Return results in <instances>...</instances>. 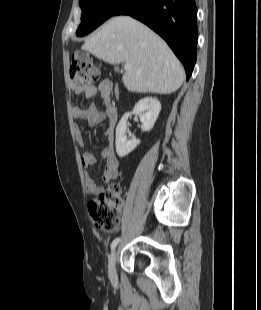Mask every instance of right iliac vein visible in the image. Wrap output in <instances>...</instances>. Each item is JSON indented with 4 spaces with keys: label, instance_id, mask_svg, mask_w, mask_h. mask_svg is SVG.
Returning <instances> with one entry per match:
<instances>
[{
    "label": "right iliac vein",
    "instance_id": "obj_1",
    "mask_svg": "<svg viewBox=\"0 0 261 310\" xmlns=\"http://www.w3.org/2000/svg\"><path fill=\"white\" fill-rule=\"evenodd\" d=\"M116 258H117V252L114 250L110 257H109V262H108V275L111 281L116 280Z\"/></svg>",
    "mask_w": 261,
    "mask_h": 310
}]
</instances>
